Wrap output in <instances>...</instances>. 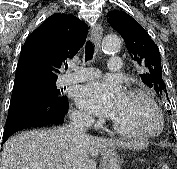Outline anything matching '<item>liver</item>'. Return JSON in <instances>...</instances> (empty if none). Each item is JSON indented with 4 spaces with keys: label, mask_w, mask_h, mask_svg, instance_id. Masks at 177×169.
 I'll list each match as a JSON object with an SVG mask.
<instances>
[{
    "label": "liver",
    "mask_w": 177,
    "mask_h": 169,
    "mask_svg": "<svg viewBox=\"0 0 177 169\" xmlns=\"http://www.w3.org/2000/svg\"><path fill=\"white\" fill-rule=\"evenodd\" d=\"M115 146L131 148L118 140L74 135L66 128L26 131L7 140L0 169H96L95 158Z\"/></svg>",
    "instance_id": "liver-1"
}]
</instances>
